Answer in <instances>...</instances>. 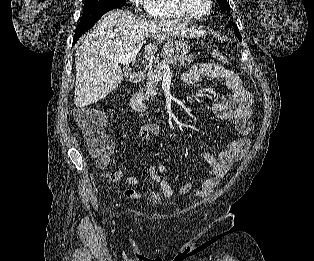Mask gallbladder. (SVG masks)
<instances>
[{
  "instance_id": "1",
  "label": "gallbladder",
  "mask_w": 314,
  "mask_h": 261,
  "mask_svg": "<svg viewBox=\"0 0 314 261\" xmlns=\"http://www.w3.org/2000/svg\"><path fill=\"white\" fill-rule=\"evenodd\" d=\"M130 74H131V71L129 69L124 70V76L125 77H129Z\"/></svg>"
}]
</instances>
